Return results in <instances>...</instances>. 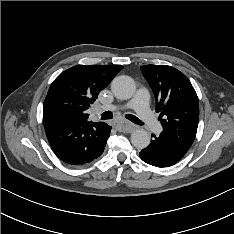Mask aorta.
I'll use <instances>...</instances> for the list:
<instances>
[{
    "instance_id": "762f6f07",
    "label": "aorta",
    "mask_w": 234,
    "mask_h": 234,
    "mask_svg": "<svg viewBox=\"0 0 234 234\" xmlns=\"http://www.w3.org/2000/svg\"><path fill=\"white\" fill-rule=\"evenodd\" d=\"M113 94L122 100L130 99L135 92V84L129 76H118L111 84ZM131 143L138 149H144L150 144V135L144 129H136L131 134Z\"/></svg>"
}]
</instances>
